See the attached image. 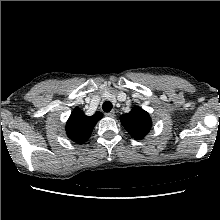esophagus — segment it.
<instances>
[{"instance_id": "1", "label": "esophagus", "mask_w": 220, "mask_h": 220, "mask_svg": "<svg viewBox=\"0 0 220 220\" xmlns=\"http://www.w3.org/2000/svg\"><path fill=\"white\" fill-rule=\"evenodd\" d=\"M105 115H106L107 117H114L115 112L112 110V111L106 113Z\"/></svg>"}]
</instances>
